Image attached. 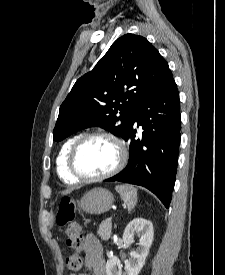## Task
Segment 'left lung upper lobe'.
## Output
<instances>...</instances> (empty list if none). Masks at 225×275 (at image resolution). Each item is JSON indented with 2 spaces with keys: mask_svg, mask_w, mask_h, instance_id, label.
Wrapping results in <instances>:
<instances>
[{
  "mask_svg": "<svg viewBox=\"0 0 225 275\" xmlns=\"http://www.w3.org/2000/svg\"><path fill=\"white\" fill-rule=\"evenodd\" d=\"M169 72L168 63L146 38H118L74 84L60 106L53 140L94 126L124 139L143 101Z\"/></svg>",
  "mask_w": 225,
  "mask_h": 275,
  "instance_id": "5c2ea615",
  "label": "left lung upper lobe"
}]
</instances>
